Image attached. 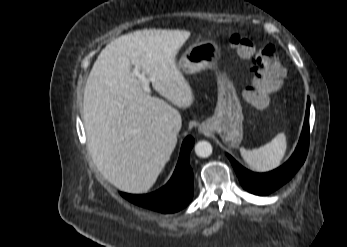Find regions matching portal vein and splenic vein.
I'll list each match as a JSON object with an SVG mask.
<instances>
[{
    "label": "portal vein and splenic vein",
    "mask_w": 347,
    "mask_h": 247,
    "mask_svg": "<svg viewBox=\"0 0 347 247\" xmlns=\"http://www.w3.org/2000/svg\"><path fill=\"white\" fill-rule=\"evenodd\" d=\"M133 74L138 77V79L141 81L142 83V87H143V90L145 92H149L150 91V88H149V82L152 80V79H149L146 77V75L144 73H141L138 69H134L133 71Z\"/></svg>",
    "instance_id": "1"
}]
</instances>
